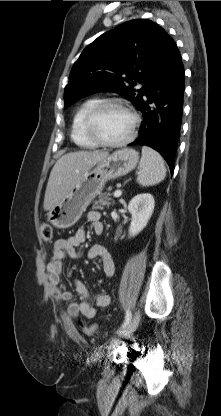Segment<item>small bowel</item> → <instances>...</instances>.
I'll return each instance as SVG.
<instances>
[{
    "mask_svg": "<svg viewBox=\"0 0 221 416\" xmlns=\"http://www.w3.org/2000/svg\"><path fill=\"white\" fill-rule=\"evenodd\" d=\"M86 218L95 234L103 232L104 226L98 211H89ZM85 239L86 231L80 228L71 237L58 239L52 247L50 260L45 267V276L58 302L72 300V293L68 290L62 278L63 261L66 255L78 258L80 256L78 248L84 244ZM88 257L100 260L105 276L112 277L114 275L115 263L106 247L100 244L92 246ZM73 284L80 296V301H71L68 305L67 313L71 318H77L81 315L87 319H93L96 316L97 308L109 306L110 296L108 294L99 293L91 297L87 287L81 280L74 279Z\"/></svg>",
    "mask_w": 221,
    "mask_h": 416,
    "instance_id": "small-bowel-1",
    "label": "small bowel"
}]
</instances>
